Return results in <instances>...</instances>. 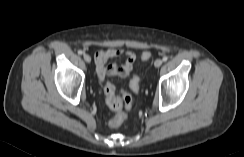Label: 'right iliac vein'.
Instances as JSON below:
<instances>
[{
  "label": "right iliac vein",
  "mask_w": 244,
  "mask_h": 157,
  "mask_svg": "<svg viewBox=\"0 0 244 157\" xmlns=\"http://www.w3.org/2000/svg\"><path fill=\"white\" fill-rule=\"evenodd\" d=\"M84 60H85L87 63H90V62H91V57H90L88 54H85V55H84Z\"/></svg>",
  "instance_id": "obj_1"
}]
</instances>
